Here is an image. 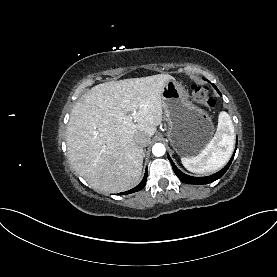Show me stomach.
<instances>
[{
    "instance_id": "1",
    "label": "stomach",
    "mask_w": 277,
    "mask_h": 277,
    "mask_svg": "<svg viewBox=\"0 0 277 277\" xmlns=\"http://www.w3.org/2000/svg\"><path fill=\"white\" fill-rule=\"evenodd\" d=\"M161 96L171 146L180 157H194L213 137L211 118L189 100L188 92L175 79L164 84Z\"/></svg>"
}]
</instances>
